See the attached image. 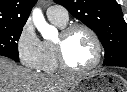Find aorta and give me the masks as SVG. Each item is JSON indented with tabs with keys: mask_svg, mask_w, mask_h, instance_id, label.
<instances>
[{
	"mask_svg": "<svg viewBox=\"0 0 127 92\" xmlns=\"http://www.w3.org/2000/svg\"><path fill=\"white\" fill-rule=\"evenodd\" d=\"M32 18L35 27L38 29V31L44 38H48L49 35L55 31V28L45 21L40 9L38 8L33 9Z\"/></svg>",
	"mask_w": 127,
	"mask_h": 92,
	"instance_id": "obj_1",
	"label": "aorta"
}]
</instances>
